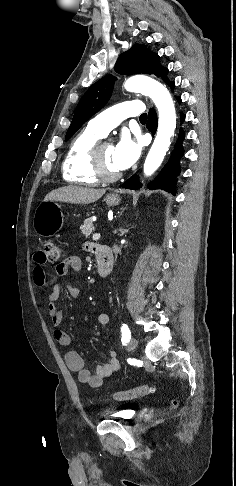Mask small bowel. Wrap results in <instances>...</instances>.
I'll return each instance as SVG.
<instances>
[{"label":"small bowel","mask_w":236,"mask_h":486,"mask_svg":"<svg viewBox=\"0 0 236 486\" xmlns=\"http://www.w3.org/2000/svg\"><path fill=\"white\" fill-rule=\"evenodd\" d=\"M88 250L95 251V246L87 244ZM35 266L33 270V280L37 286L48 287L51 285V279L48 278L45 271L46 262L43 260L41 252L37 253L34 258ZM82 267V261L78 256H69L63 262L59 263L55 268L56 276H64L68 269L71 268L75 272H79ZM66 290L67 293L73 297H78L80 290L76 286L65 284H54L52 291L48 295L47 314L51 319V324L54 329V337L56 341L62 346H68L71 343L70 334L59 328L62 321V312L59 307V297L61 290ZM98 322L101 325L109 323V316L102 313L98 316ZM65 362L68 368L78 374L79 380L91 388H99L104 384L106 378L114 374L120 367L115 351H110L106 362L96 366L95 373H91L86 367L83 358L76 351H68L65 354Z\"/></svg>","instance_id":"c3829d8e"}]
</instances>
